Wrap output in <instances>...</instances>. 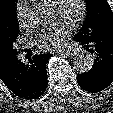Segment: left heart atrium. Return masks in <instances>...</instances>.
<instances>
[{"label":"left heart atrium","mask_w":113,"mask_h":113,"mask_svg":"<svg viewBox=\"0 0 113 113\" xmlns=\"http://www.w3.org/2000/svg\"><path fill=\"white\" fill-rule=\"evenodd\" d=\"M71 25L67 22L56 23L42 30L36 37V45L44 51H54L63 48L66 39L71 35Z\"/></svg>","instance_id":"1"}]
</instances>
